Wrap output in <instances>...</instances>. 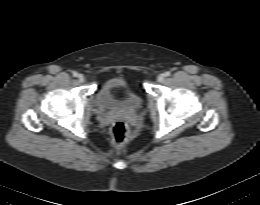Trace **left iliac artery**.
<instances>
[{"label":"left iliac artery","instance_id":"obj_1","mask_svg":"<svg viewBox=\"0 0 260 205\" xmlns=\"http://www.w3.org/2000/svg\"><path fill=\"white\" fill-rule=\"evenodd\" d=\"M164 75L168 77V76H170V72L167 71V72L164 73Z\"/></svg>","mask_w":260,"mask_h":205}]
</instances>
